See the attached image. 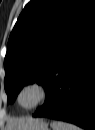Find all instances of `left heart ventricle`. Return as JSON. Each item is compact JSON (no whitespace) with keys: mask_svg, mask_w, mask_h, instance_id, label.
Returning <instances> with one entry per match:
<instances>
[{"mask_svg":"<svg viewBox=\"0 0 95 130\" xmlns=\"http://www.w3.org/2000/svg\"><path fill=\"white\" fill-rule=\"evenodd\" d=\"M39 97L40 93L36 88H28L21 93L19 102L24 107H30L39 100Z\"/></svg>","mask_w":95,"mask_h":130,"instance_id":"b2bd125f","label":"left heart ventricle"}]
</instances>
